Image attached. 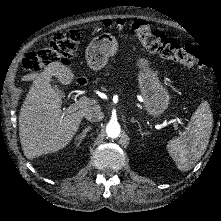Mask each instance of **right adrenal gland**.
Segmentation results:
<instances>
[{"mask_svg": "<svg viewBox=\"0 0 221 221\" xmlns=\"http://www.w3.org/2000/svg\"><path fill=\"white\" fill-rule=\"evenodd\" d=\"M91 130V126L86 127L85 129H83V131L76 136L75 139L79 140V142L77 143V146H80V144L82 143L83 139L86 137L87 133Z\"/></svg>", "mask_w": 221, "mask_h": 221, "instance_id": "right-adrenal-gland-1", "label": "right adrenal gland"}]
</instances>
